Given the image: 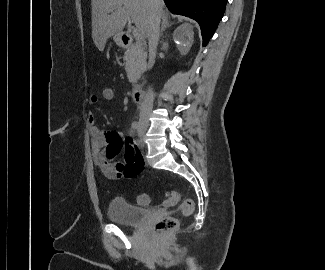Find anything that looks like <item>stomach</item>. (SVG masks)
Instances as JSON below:
<instances>
[{
    "instance_id": "obj_1",
    "label": "stomach",
    "mask_w": 325,
    "mask_h": 270,
    "mask_svg": "<svg viewBox=\"0 0 325 270\" xmlns=\"http://www.w3.org/2000/svg\"><path fill=\"white\" fill-rule=\"evenodd\" d=\"M114 41L117 43V45H122V37H121V34H116L114 36Z\"/></svg>"
}]
</instances>
